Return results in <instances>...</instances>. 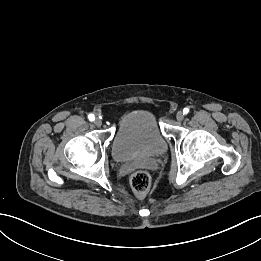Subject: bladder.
<instances>
[{
    "label": "bladder",
    "mask_w": 261,
    "mask_h": 261,
    "mask_svg": "<svg viewBox=\"0 0 261 261\" xmlns=\"http://www.w3.org/2000/svg\"><path fill=\"white\" fill-rule=\"evenodd\" d=\"M167 149V141L155 114L146 109L126 113L117 126L111 155L116 161L140 156H157Z\"/></svg>",
    "instance_id": "1"
}]
</instances>
